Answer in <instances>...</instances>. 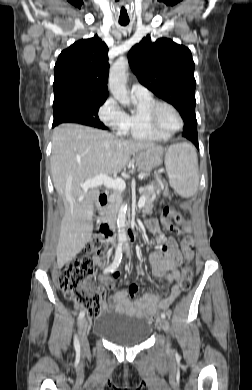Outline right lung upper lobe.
I'll return each mask as SVG.
<instances>
[{
    "label": "right lung upper lobe",
    "instance_id": "obj_1",
    "mask_svg": "<svg viewBox=\"0 0 252 390\" xmlns=\"http://www.w3.org/2000/svg\"><path fill=\"white\" fill-rule=\"evenodd\" d=\"M108 47L95 35L63 50L54 67V102L65 99L106 100Z\"/></svg>",
    "mask_w": 252,
    "mask_h": 390
}]
</instances>
